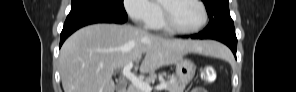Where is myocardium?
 I'll return each mask as SVG.
<instances>
[{
	"instance_id": "myocardium-1",
	"label": "myocardium",
	"mask_w": 296,
	"mask_h": 92,
	"mask_svg": "<svg viewBox=\"0 0 296 92\" xmlns=\"http://www.w3.org/2000/svg\"><path fill=\"white\" fill-rule=\"evenodd\" d=\"M179 0H167V1H162L161 2V6H162V19H163V23L166 26V28L170 31H173L175 33H179V34H195L199 31H201L205 25L207 24L208 21V13H207V9L206 6L204 5V3L200 0H191L193 2H195L196 4L199 5V7L201 8L202 11V21L201 23L193 28V29H182L180 27H178L171 19L170 17V12H169V7L173 2H176Z\"/></svg>"
}]
</instances>
